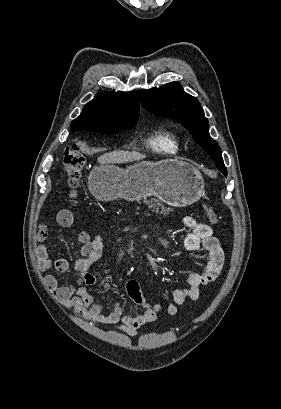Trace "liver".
Returning a JSON list of instances; mask_svg holds the SVG:
<instances>
[{"instance_id": "6515ba94", "label": "liver", "mask_w": 281, "mask_h": 409, "mask_svg": "<svg viewBox=\"0 0 281 409\" xmlns=\"http://www.w3.org/2000/svg\"><path fill=\"white\" fill-rule=\"evenodd\" d=\"M141 158H146L145 154L141 152H129V150H113V152H107V154H101L98 156L97 160L100 164H108V162H132V160H141Z\"/></svg>"}]
</instances>
